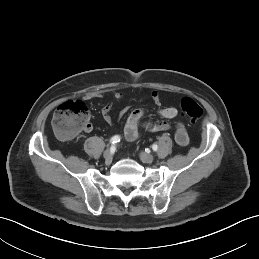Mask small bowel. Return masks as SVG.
Returning a JSON list of instances; mask_svg holds the SVG:
<instances>
[{
	"label": "small bowel",
	"mask_w": 259,
	"mask_h": 259,
	"mask_svg": "<svg viewBox=\"0 0 259 259\" xmlns=\"http://www.w3.org/2000/svg\"><path fill=\"white\" fill-rule=\"evenodd\" d=\"M106 94L105 91H91L87 92L82 96L83 100H91L94 98L102 97ZM112 96L115 100H121L123 97V93L120 91H113ZM153 101L159 105L161 103V96L158 91H153L152 94ZM178 111L175 107H163L158 110V115L165 119L170 120L177 116ZM101 115L104 121L108 124L113 123V119L110 114V105H105L101 109ZM144 116V110L142 109H134L130 112L127 117L125 126H124V137L127 141H135L139 137V129L142 127L147 131L151 132H159V131H167L170 129V124L166 121H161L158 123L152 122H144L141 123V119ZM92 130L91 124H88L84 129L85 132H90ZM175 141L179 146H187L189 143V136L182 124H178L175 132Z\"/></svg>",
	"instance_id": "small-bowel-1"
}]
</instances>
